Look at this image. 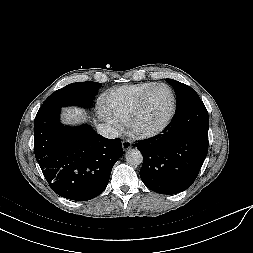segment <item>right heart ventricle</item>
Returning <instances> with one entry per match:
<instances>
[{"instance_id": "1", "label": "right heart ventricle", "mask_w": 253, "mask_h": 253, "mask_svg": "<svg viewBox=\"0 0 253 253\" xmlns=\"http://www.w3.org/2000/svg\"><path fill=\"white\" fill-rule=\"evenodd\" d=\"M153 84L143 82L112 89L104 98L106 110L120 124H127L142 93Z\"/></svg>"}]
</instances>
